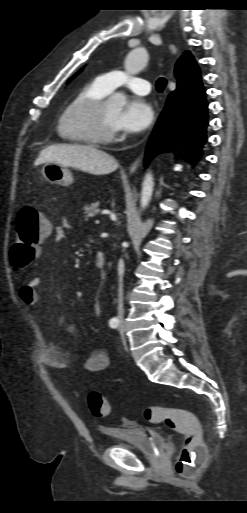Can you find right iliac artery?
<instances>
[{"instance_id": "right-iliac-artery-1", "label": "right iliac artery", "mask_w": 247, "mask_h": 513, "mask_svg": "<svg viewBox=\"0 0 247 513\" xmlns=\"http://www.w3.org/2000/svg\"><path fill=\"white\" fill-rule=\"evenodd\" d=\"M109 325L111 328H117L119 325V320L117 318H113L110 320Z\"/></svg>"}]
</instances>
